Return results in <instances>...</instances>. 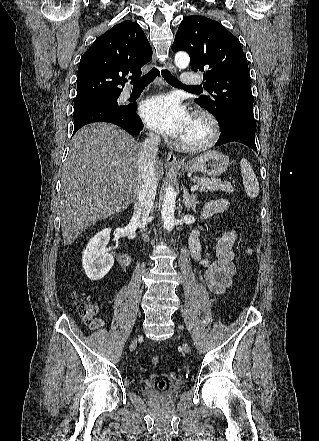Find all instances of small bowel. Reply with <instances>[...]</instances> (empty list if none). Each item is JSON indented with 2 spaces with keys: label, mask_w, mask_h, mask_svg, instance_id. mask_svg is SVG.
Instances as JSON below:
<instances>
[{
  "label": "small bowel",
  "mask_w": 319,
  "mask_h": 441,
  "mask_svg": "<svg viewBox=\"0 0 319 441\" xmlns=\"http://www.w3.org/2000/svg\"><path fill=\"white\" fill-rule=\"evenodd\" d=\"M228 208V201L217 199L208 202L202 209L201 217L207 218L213 214L221 213ZM236 240L234 230L225 232L216 245V259H208L202 255L200 242V230L194 229L189 238V250L192 258L205 269V283L207 288L215 294L223 293L232 283L236 269L233 264L235 254L233 246ZM105 326L103 319L94 321L93 329H101Z\"/></svg>",
  "instance_id": "obj_1"
}]
</instances>
